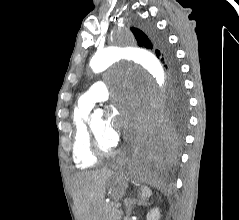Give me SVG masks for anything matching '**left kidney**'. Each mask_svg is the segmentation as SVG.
I'll use <instances>...</instances> for the list:
<instances>
[{
    "instance_id": "left-kidney-1",
    "label": "left kidney",
    "mask_w": 239,
    "mask_h": 220,
    "mask_svg": "<svg viewBox=\"0 0 239 220\" xmlns=\"http://www.w3.org/2000/svg\"><path fill=\"white\" fill-rule=\"evenodd\" d=\"M160 219V211L159 208L152 209L147 214V220H159Z\"/></svg>"
}]
</instances>
